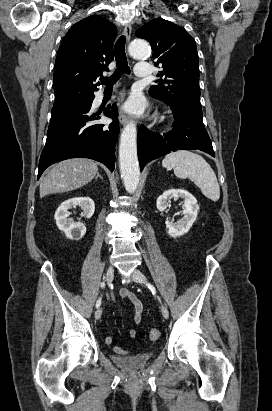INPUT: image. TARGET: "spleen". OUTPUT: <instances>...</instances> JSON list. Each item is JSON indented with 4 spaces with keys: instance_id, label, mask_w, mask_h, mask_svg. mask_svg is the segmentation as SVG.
<instances>
[{
    "instance_id": "spleen-1",
    "label": "spleen",
    "mask_w": 272,
    "mask_h": 411,
    "mask_svg": "<svg viewBox=\"0 0 272 411\" xmlns=\"http://www.w3.org/2000/svg\"><path fill=\"white\" fill-rule=\"evenodd\" d=\"M162 165L167 169H173L178 178L192 180L210 200H219L220 187L217 177L211 166L199 154L187 150L172 152L165 156Z\"/></svg>"
}]
</instances>
